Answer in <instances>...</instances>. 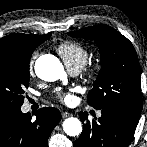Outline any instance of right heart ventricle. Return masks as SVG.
Wrapping results in <instances>:
<instances>
[{"instance_id": "right-heart-ventricle-1", "label": "right heart ventricle", "mask_w": 147, "mask_h": 147, "mask_svg": "<svg viewBox=\"0 0 147 147\" xmlns=\"http://www.w3.org/2000/svg\"><path fill=\"white\" fill-rule=\"evenodd\" d=\"M57 52L65 62L68 69H82L89 58L88 49L81 43L75 41H65L57 46Z\"/></svg>"}]
</instances>
